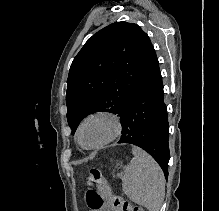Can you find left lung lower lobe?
<instances>
[{"mask_svg": "<svg viewBox=\"0 0 219 211\" xmlns=\"http://www.w3.org/2000/svg\"><path fill=\"white\" fill-rule=\"evenodd\" d=\"M159 67L130 99L121 118L122 136L118 143L136 145L149 153L168 177L169 134Z\"/></svg>", "mask_w": 219, "mask_h": 211, "instance_id": "0a47b994", "label": "left lung lower lobe"}]
</instances>
